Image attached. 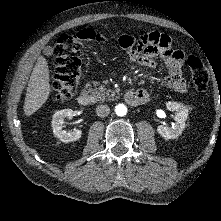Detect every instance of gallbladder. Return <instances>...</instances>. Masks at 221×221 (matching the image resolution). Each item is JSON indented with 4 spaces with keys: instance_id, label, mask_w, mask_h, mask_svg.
Masks as SVG:
<instances>
[{
    "instance_id": "obj_1",
    "label": "gallbladder",
    "mask_w": 221,
    "mask_h": 221,
    "mask_svg": "<svg viewBox=\"0 0 221 221\" xmlns=\"http://www.w3.org/2000/svg\"><path fill=\"white\" fill-rule=\"evenodd\" d=\"M45 53H46L47 55H51V54H52V48H51V47H47V48L45 49Z\"/></svg>"
}]
</instances>
